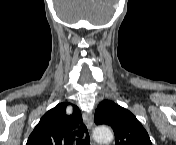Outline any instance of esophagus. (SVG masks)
Returning <instances> with one entry per match:
<instances>
[{
    "label": "esophagus",
    "instance_id": "esophagus-1",
    "mask_svg": "<svg viewBox=\"0 0 176 145\" xmlns=\"http://www.w3.org/2000/svg\"><path fill=\"white\" fill-rule=\"evenodd\" d=\"M83 120L89 130L92 129L93 126V119L92 116L89 113H83Z\"/></svg>",
    "mask_w": 176,
    "mask_h": 145
}]
</instances>
